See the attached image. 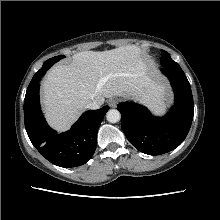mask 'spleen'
Segmentation results:
<instances>
[{
  "mask_svg": "<svg viewBox=\"0 0 220 220\" xmlns=\"http://www.w3.org/2000/svg\"><path fill=\"white\" fill-rule=\"evenodd\" d=\"M148 105L156 114H163L166 110V105L161 96H156L152 98L148 102Z\"/></svg>",
  "mask_w": 220,
  "mask_h": 220,
  "instance_id": "1",
  "label": "spleen"
}]
</instances>
